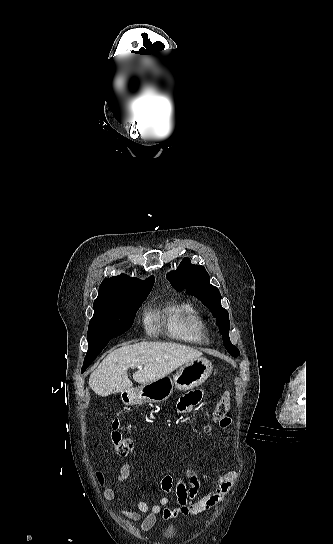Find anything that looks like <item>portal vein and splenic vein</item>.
I'll return each instance as SVG.
<instances>
[{"instance_id":"1","label":"portal vein and splenic vein","mask_w":333,"mask_h":544,"mask_svg":"<svg viewBox=\"0 0 333 544\" xmlns=\"http://www.w3.org/2000/svg\"><path fill=\"white\" fill-rule=\"evenodd\" d=\"M138 368H139V369H142V365H139Z\"/></svg>"}]
</instances>
